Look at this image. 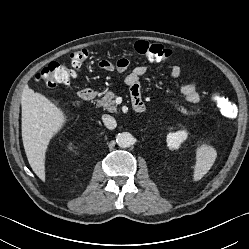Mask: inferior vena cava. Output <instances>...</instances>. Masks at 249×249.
Instances as JSON below:
<instances>
[{"mask_svg": "<svg viewBox=\"0 0 249 249\" xmlns=\"http://www.w3.org/2000/svg\"><path fill=\"white\" fill-rule=\"evenodd\" d=\"M102 121L108 129H115L117 126L116 120L107 114L102 115Z\"/></svg>", "mask_w": 249, "mask_h": 249, "instance_id": "602c4592", "label": "inferior vena cava"}]
</instances>
